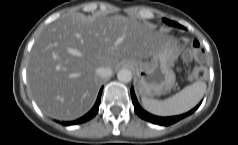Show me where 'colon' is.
Wrapping results in <instances>:
<instances>
[{
  "label": "colon",
  "mask_w": 238,
  "mask_h": 145,
  "mask_svg": "<svg viewBox=\"0 0 238 145\" xmlns=\"http://www.w3.org/2000/svg\"><path fill=\"white\" fill-rule=\"evenodd\" d=\"M185 57L189 60L202 62L205 58V51L198 40H193L185 51ZM208 72L204 67H197L193 70L191 78L194 80H203L207 77Z\"/></svg>",
  "instance_id": "colon-1"
}]
</instances>
